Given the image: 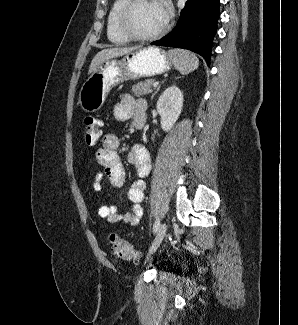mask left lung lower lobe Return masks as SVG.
Listing matches in <instances>:
<instances>
[{
  "label": "left lung lower lobe",
  "instance_id": "left-lung-lower-lobe-1",
  "mask_svg": "<svg viewBox=\"0 0 298 325\" xmlns=\"http://www.w3.org/2000/svg\"><path fill=\"white\" fill-rule=\"evenodd\" d=\"M220 0H189L176 27L151 45L178 47L200 54L210 65L212 42L217 31Z\"/></svg>",
  "mask_w": 298,
  "mask_h": 325
}]
</instances>
